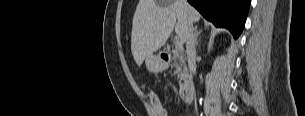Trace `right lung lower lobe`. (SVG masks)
I'll use <instances>...</instances> for the list:
<instances>
[{"label":"right lung lower lobe","instance_id":"obj_1","mask_svg":"<svg viewBox=\"0 0 305 116\" xmlns=\"http://www.w3.org/2000/svg\"><path fill=\"white\" fill-rule=\"evenodd\" d=\"M207 20L230 30L234 38L241 34L250 0H188Z\"/></svg>","mask_w":305,"mask_h":116}]
</instances>
